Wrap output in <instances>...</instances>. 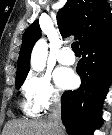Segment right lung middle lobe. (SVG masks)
Instances as JSON below:
<instances>
[{
	"mask_svg": "<svg viewBox=\"0 0 112 135\" xmlns=\"http://www.w3.org/2000/svg\"><path fill=\"white\" fill-rule=\"evenodd\" d=\"M26 76H23L21 78L16 79V88L17 90L20 89L21 85L23 84L24 80H25ZM19 94V93H18Z\"/></svg>",
	"mask_w": 112,
	"mask_h": 135,
	"instance_id": "obj_1",
	"label": "right lung middle lobe"
}]
</instances>
